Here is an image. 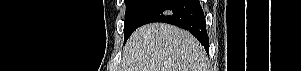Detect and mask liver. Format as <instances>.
Returning <instances> with one entry per match:
<instances>
[{"label": "liver", "mask_w": 301, "mask_h": 71, "mask_svg": "<svg viewBox=\"0 0 301 71\" xmlns=\"http://www.w3.org/2000/svg\"><path fill=\"white\" fill-rule=\"evenodd\" d=\"M199 41L178 27L153 23L135 30L123 49L122 71H207Z\"/></svg>", "instance_id": "liver-1"}]
</instances>
